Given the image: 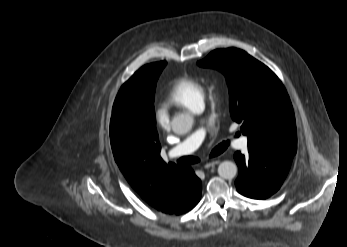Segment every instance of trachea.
<instances>
[{
  "label": "trachea",
  "mask_w": 347,
  "mask_h": 247,
  "mask_svg": "<svg viewBox=\"0 0 347 247\" xmlns=\"http://www.w3.org/2000/svg\"><path fill=\"white\" fill-rule=\"evenodd\" d=\"M227 146L228 145H227L226 142H223V143L219 144L217 147H215L211 151L210 157H215V156L221 154L223 151L226 150ZM177 162L179 164H195V163L199 162V158L193 157V156L182 157Z\"/></svg>",
  "instance_id": "1"
}]
</instances>
